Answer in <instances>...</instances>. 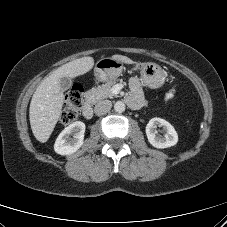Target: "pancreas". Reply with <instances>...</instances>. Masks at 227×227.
<instances>
[{
	"label": "pancreas",
	"instance_id": "obj_1",
	"mask_svg": "<svg viewBox=\"0 0 227 227\" xmlns=\"http://www.w3.org/2000/svg\"><path fill=\"white\" fill-rule=\"evenodd\" d=\"M115 83V81H108L105 84L88 90L85 93L86 100L89 103L95 104L103 99L116 97V95L111 90L112 86Z\"/></svg>",
	"mask_w": 227,
	"mask_h": 227
}]
</instances>
